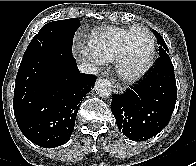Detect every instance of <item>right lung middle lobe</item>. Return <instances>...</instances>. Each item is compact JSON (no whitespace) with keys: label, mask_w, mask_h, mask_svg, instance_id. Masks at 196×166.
Segmentation results:
<instances>
[{"label":"right lung middle lobe","mask_w":196,"mask_h":166,"mask_svg":"<svg viewBox=\"0 0 196 166\" xmlns=\"http://www.w3.org/2000/svg\"><path fill=\"white\" fill-rule=\"evenodd\" d=\"M79 26L80 23L77 18L45 24L32 39L23 57L48 50L72 55L73 37Z\"/></svg>","instance_id":"1"}]
</instances>
